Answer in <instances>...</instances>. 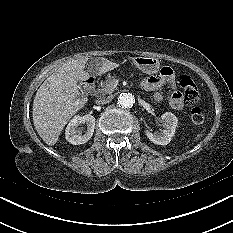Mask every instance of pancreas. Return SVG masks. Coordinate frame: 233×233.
<instances>
[{
	"label": "pancreas",
	"instance_id": "1",
	"mask_svg": "<svg viewBox=\"0 0 233 233\" xmlns=\"http://www.w3.org/2000/svg\"><path fill=\"white\" fill-rule=\"evenodd\" d=\"M114 77H108L107 80L101 83V88L98 90L100 95L111 94L115 87H114Z\"/></svg>",
	"mask_w": 233,
	"mask_h": 233
}]
</instances>
